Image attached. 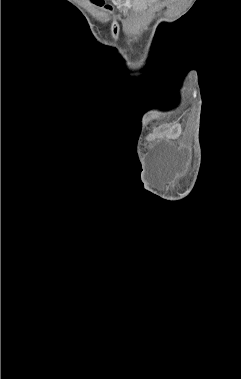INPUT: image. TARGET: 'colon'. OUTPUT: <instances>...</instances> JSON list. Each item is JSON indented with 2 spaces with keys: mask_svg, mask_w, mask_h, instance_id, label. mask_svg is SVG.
I'll return each mask as SVG.
<instances>
[{
  "mask_svg": "<svg viewBox=\"0 0 241 379\" xmlns=\"http://www.w3.org/2000/svg\"><path fill=\"white\" fill-rule=\"evenodd\" d=\"M93 2L97 5H103L104 1L103 0H93Z\"/></svg>",
  "mask_w": 241,
  "mask_h": 379,
  "instance_id": "obj_1",
  "label": "colon"
}]
</instances>
